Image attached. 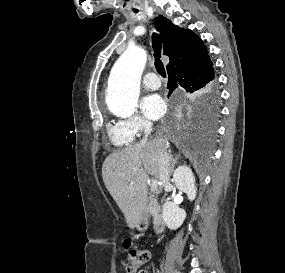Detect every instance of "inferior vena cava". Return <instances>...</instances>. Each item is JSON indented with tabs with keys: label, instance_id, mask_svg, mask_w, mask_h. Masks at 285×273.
<instances>
[{
	"label": "inferior vena cava",
	"instance_id": "1",
	"mask_svg": "<svg viewBox=\"0 0 285 273\" xmlns=\"http://www.w3.org/2000/svg\"><path fill=\"white\" fill-rule=\"evenodd\" d=\"M152 131V123L149 121H146L144 123V137L142 141H147L148 136L150 135ZM159 140V139H156ZM170 156L167 153V149L160 144L159 151H158V165H159V179L162 182L163 185H167L169 183V177H170Z\"/></svg>",
	"mask_w": 285,
	"mask_h": 273
}]
</instances>
